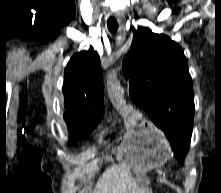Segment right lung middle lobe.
Returning <instances> with one entry per match:
<instances>
[{
  "label": "right lung middle lobe",
  "mask_w": 221,
  "mask_h": 193,
  "mask_svg": "<svg viewBox=\"0 0 221 193\" xmlns=\"http://www.w3.org/2000/svg\"><path fill=\"white\" fill-rule=\"evenodd\" d=\"M101 119L102 117L85 121V122H81L79 124H76L72 128L69 127L68 125L67 126H68L70 133L73 136L77 138H85L94 130V128L98 125Z\"/></svg>",
  "instance_id": "obj_1"
}]
</instances>
